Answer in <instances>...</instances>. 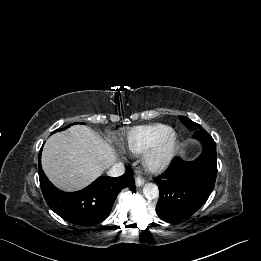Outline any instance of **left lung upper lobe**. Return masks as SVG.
<instances>
[{
  "instance_id": "obj_1",
  "label": "left lung upper lobe",
  "mask_w": 261,
  "mask_h": 261,
  "mask_svg": "<svg viewBox=\"0 0 261 261\" xmlns=\"http://www.w3.org/2000/svg\"><path fill=\"white\" fill-rule=\"evenodd\" d=\"M179 119L181 120V122L188 128L191 130H199L201 129V126L193 121H191L188 117L185 116H179Z\"/></svg>"
}]
</instances>
